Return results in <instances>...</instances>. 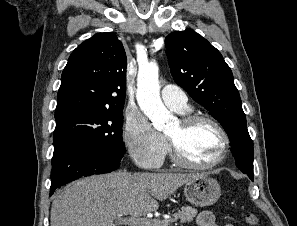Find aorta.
Masks as SVG:
<instances>
[{"mask_svg":"<svg viewBox=\"0 0 297 226\" xmlns=\"http://www.w3.org/2000/svg\"><path fill=\"white\" fill-rule=\"evenodd\" d=\"M158 66L151 62L141 66L137 76V102L143 113L152 121L156 130L162 131L171 118L160 98Z\"/></svg>","mask_w":297,"mask_h":226,"instance_id":"1","label":"aorta"}]
</instances>
